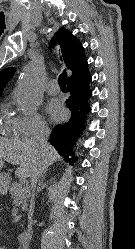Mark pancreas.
Returning <instances> with one entry per match:
<instances>
[{"label":"pancreas","instance_id":"pancreas-1","mask_svg":"<svg viewBox=\"0 0 135 249\" xmlns=\"http://www.w3.org/2000/svg\"><path fill=\"white\" fill-rule=\"evenodd\" d=\"M24 189L25 188H23L22 185L17 182H13L10 186L9 193L13 198V203L15 205H26V198L29 197V191H25Z\"/></svg>","mask_w":135,"mask_h":249}]
</instances>
